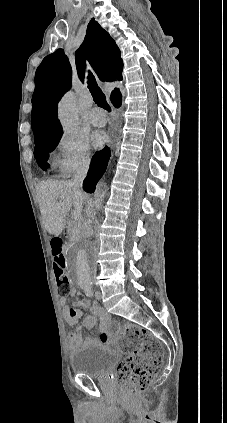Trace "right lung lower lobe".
I'll use <instances>...</instances> for the list:
<instances>
[{
    "label": "right lung lower lobe",
    "mask_w": 227,
    "mask_h": 423,
    "mask_svg": "<svg viewBox=\"0 0 227 423\" xmlns=\"http://www.w3.org/2000/svg\"><path fill=\"white\" fill-rule=\"evenodd\" d=\"M122 102V101H121ZM120 103L114 104L115 107H120ZM110 157V150L108 147L97 152L91 161L90 169L87 177L83 182V188L86 192L92 193L95 190V186L106 170L108 160Z\"/></svg>",
    "instance_id": "98d812e1"
}]
</instances>
